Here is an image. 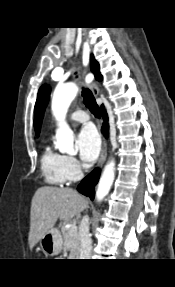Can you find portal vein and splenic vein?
I'll return each instance as SVG.
<instances>
[{
    "label": "portal vein and splenic vein",
    "mask_w": 175,
    "mask_h": 287,
    "mask_svg": "<svg viewBox=\"0 0 175 287\" xmlns=\"http://www.w3.org/2000/svg\"><path fill=\"white\" fill-rule=\"evenodd\" d=\"M76 232H77V227L76 226H71L70 230H69V233L73 234V233H76Z\"/></svg>",
    "instance_id": "obj_1"
}]
</instances>
